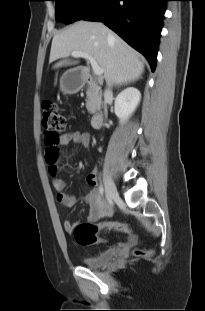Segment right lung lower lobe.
Wrapping results in <instances>:
<instances>
[{
	"mask_svg": "<svg viewBox=\"0 0 205 311\" xmlns=\"http://www.w3.org/2000/svg\"><path fill=\"white\" fill-rule=\"evenodd\" d=\"M168 0H103L82 20L103 22L141 52L155 70L162 19Z\"/></svg>",
	"mask_w": 205,
	"mask_h": 311,
	"instance_id": "right-lung-lower-lobe-1",
	"label": "right lung lower lobe"
}]
</instances>
